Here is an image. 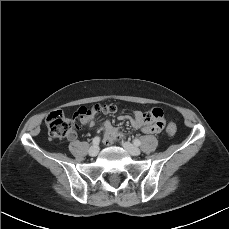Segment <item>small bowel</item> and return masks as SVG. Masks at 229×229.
<instances>
[{
  "label": "small bowel",
  "instance_id": "small-bowel-1",
  "mask_svg": "<svg viewBox=\"0 0 229 229\" xmlns=\"http://www.w3.org/2000/svg\"><path fill=\"white\" fill-rule=\"evenodd\" d=\"M74 118H78L83 125L90 127L96 125V119L92 114L81 116L78 113H75ZM118 119L120 121H128L135 129H142V131L145 133H152V130L145 126L144 112L140 110L134 111L132 116L119 115ZM101 126L104 133L105 142L112 143L114 141H120L123 139L124 135L121 127L113 125L109 120L104 121ZM74 137L75 133H71L70 138Z\"/></svg>",
  "mask_w": 229,
  "mask_h": 229
}]
</instances>
